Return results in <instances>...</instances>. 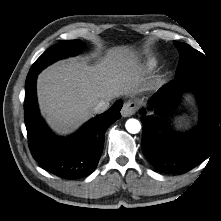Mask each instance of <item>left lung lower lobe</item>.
Wrapping results in <instances>:
<instances>
[{"instance_id": "obj_1", "label": "left lung lower lobe", "mask_w": 221, "mask_h": 221, "mask_svg": "<svg viewBox=\"0 0 221 221\" xmlns=\"http://www.w3.org/2000/svg\"><path fill=\"white\" fill-rule=\"evenodd\" d=\"M187 88L197 94L202 108L200 126L193 132L186 135L159 133L160 128L154 119L141 117L142 151L151 165L162 173L190 171L221 142V87L212 81L196 75L175 77L159 89L149 104L159 112L168 111L180 92Z\"/></svg>"}]
</instances>
